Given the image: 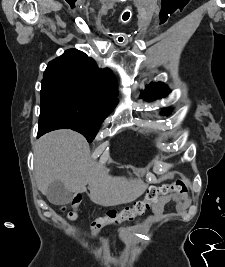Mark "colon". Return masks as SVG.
Segmentation results:
<instances>
[{
    "label": "colon",
    "instance_id": "5ec220e1",
    "mask_svg": "<svg viewBox=\"0 0 225 267\" xmlns=\"http://www.w3.org/2000/svg\"><path fill=\"white\" fill-rule=\"evenodd\" d=\"M127 13L130 14L129 12ZM186 190L187 182L183 177L177 178L169 185L151 186L148 188L145 198L135 203L132 207H127L120 212L110 211L107 215L97 218L92 223V230L96 233L105 226L118 225L123 221L131 220L136 216L144 214L159 198L170 193H184ZM79 203V197H74L70 204L73 210L68 214L70 219L77 218L76 208Z\"/></svg>",
    "mask_w": 225,
    "mask_h": 267
}]
</instances>
